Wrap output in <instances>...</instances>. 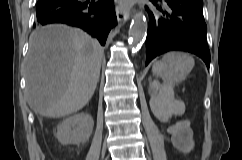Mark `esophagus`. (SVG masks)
<instances>
[{
	"mask_svg": "<svg viewBox=\"0 0 242 160\" xmlns=\"http://www.w3.org/2000/svg\"><path fill=\"white\" fill-rule=\"evenodd\" d=\"M131 13L122 7L120 3L116 6V17L119 22L126 21L130 18Z\"/></svg>",
	"mask_w": 242,
	"mask_h": 160,
	"instance_id": "1",
	"label": "esophagus"
}]
</instances>
